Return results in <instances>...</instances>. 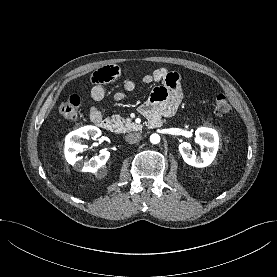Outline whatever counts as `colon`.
Listing matches in <instances>:
<instances>
[{
  "label": "colon",
  "mask_w": 277,
  "mask_h": 277,
  "mask_svg": "<svg viewBox=\"0 0 277 277\" xmlns=\"http://www.w3.org/2000/svg\"><path fill=\"white\" fill-rule=\"evenodd\" d=\"M81 106V99L78 95H71L60 106V113L67 119H74L77 117ZM213 109L216 115L225 116L230 112V104L223 94H218L213 100Z\"/></svg>",
  "instance_id": "1"
}]
</instances>
